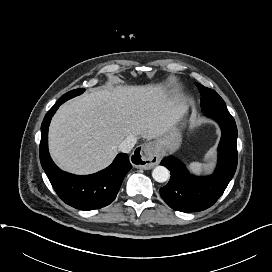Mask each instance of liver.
Segmentation results:
<instances>
[{"label": "liver", "mask_w": 272, "mask_h": 272, "mask_svg": "<svg viewBox=\"0 0 272 272\" xmlns=\"http://www.w3.org/2000/svg\"><path fill=\"white\" fill-rule=\"evenodd\" d=\"M187 105L160 85H108L63 104L49 128V150L57 165L75 174L106 168L128 136H163Z\"/></svg>", "instance_id": "obj_1"}]
</instances>
